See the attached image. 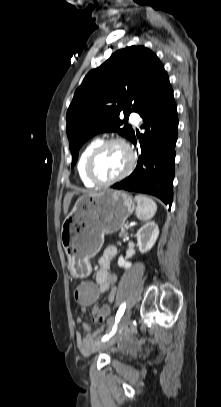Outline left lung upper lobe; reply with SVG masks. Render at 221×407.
Instances as JSON below:
<instances>
[{
    "instance_id": "5c2ea615",
    "label": "left lung upper lobe",
    "mask_w": 221,
    "mask_h": 407,
    "mask_svg": "<svg viewBox=\"0 0 221 407\" xmlns=\"http://www.w3.org/2000/svg\"><path fill=\"white\" fill-rule=\"evenodd\" d=\"M168 76L158 57L144 46L116 51L91 70L75 91L67 111V136L76 164L80 147L93 135L116 131L131 140L134 131L119 118L139 112Z\"/></svg>"
}]
</instances>
